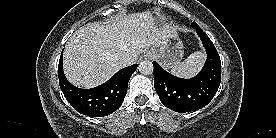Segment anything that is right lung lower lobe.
Masks as SVG:
<instances>
[{"label": "right lung lower lobe", "mask_w": 276, "mask_h": 138, "mask_svg": "<svg viewBox=\"0 0 276 138\" xmlns=\"http://www.w3.org/2000/svg\"><path fill=\"white\" fill-rule=\"evenodd\" d=\"M62 54L58 65L60 88L71 104L79 113L91 117H104L116 111L123 103L128 81L135 72L137 64L118 71L106 83L91 89H81L72 85L63 72Z\"/></svg>", "instance_id": "1"}]
</instances>
